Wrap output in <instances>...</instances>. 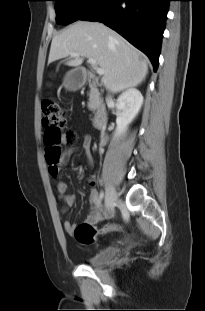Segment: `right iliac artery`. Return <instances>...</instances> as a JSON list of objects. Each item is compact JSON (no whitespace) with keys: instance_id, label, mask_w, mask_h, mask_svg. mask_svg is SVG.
Returning a JSON list of instances; mask_svg holds the SVG:
<instances>
[{"instance_id":"right-iliac-artery-1","label":"right iliac artery","mask_w":205,"mask_h":311,"mask_svg":"<svg viewBox=\"0 0 205 311\" xmlns=\"http://www.w3.org/2000/svg\"><path fill=\"white\" fill-rule=\"evenodd\" d=\"M103 198H104V192L101 191L100 194H99V203L102 202Z\"/></svg>"}]
</instances>
